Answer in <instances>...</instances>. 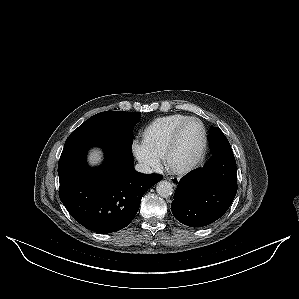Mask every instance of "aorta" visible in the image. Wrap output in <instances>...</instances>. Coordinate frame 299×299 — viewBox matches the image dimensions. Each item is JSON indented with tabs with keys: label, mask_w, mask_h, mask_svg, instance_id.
I'll return each instance as SVG.
<instances>
[{
	"label": "aorta",
	"mask_w": 299,
	"mask_h": 299,
	"mask_svg": "<svg viewBox=\"0 0 299 299\" xmlns=\"http://www.w3.org/2000/svg\"><path fill=\"white\" fill-rule=\"evenodd\" d=\"M156 192L163 198H168L173 193V185L168 181H160L156 186Z\"/></svg>",
	"instance_id": "762f6f07"
}]
</instances>
